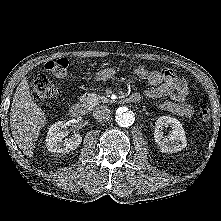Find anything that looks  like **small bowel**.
<instances>
[{
  "label": "small bowel",
  "mask_w": 221,
  "mask_h": 221,
  "mask_svg": "<svg viewBox=\"0 0 221 221\" xmlns=\"http://www.w3.org/2000/svg\"><path fill=\"white\" fill-rule=\"evenodd\" d=\"M117 74L115 68L101 69L94 75L95 82H104ZM135 74L152 85L145 91V96L151 99L168 97L170 100L160 104L162 110L175 115L189 118L193 115V107L188 103L189 87L185 79L178 77L170 69L149 71L142 67L135 69Z\"/></svg>",
  "instance_id": "c3829d8e"
}]
</instances>
